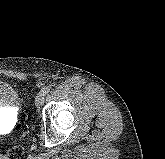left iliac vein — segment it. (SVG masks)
<instances>
[{
  "label": "left iliac vein",
  "instance_id": "4c4485c4",
  "mask_svg": "<svg viewBox=\"0 0 165 159\" xmlns=\"http://www.w3.org/2000/svg\"><path fill=\"white\" fill-rule=\"evenodd\" d=\"M45 96L46 94L43 91L39 92L35 98V105L39 107L43 105L45 101Z\"/></svg>",
  "mask_w": 165,
  "mask_h": 159
}]
</instances>
